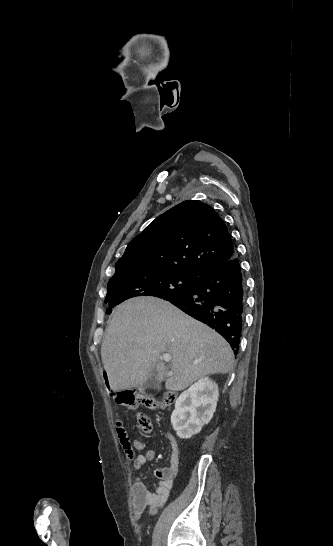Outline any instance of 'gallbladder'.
<instances>
[{
  "label": "gallbladder",
  "mask_w": 333,
  "mask_h": 546,
  "mask_svg": "<svg viewBox=\"0 0 333 546\" xmlns=\"http://www.w3.org/2000/svg\"><path fill=\"white\" fill-rule=\"evenodd\" d=\"M138 390L140 393L148 394L160 390V384L155 376L151 374L148 380L145 381L141 386H139Z\"/></svg>",
  "instance_id": "1"
}]
</instances>
